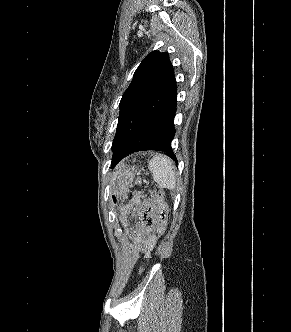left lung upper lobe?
Wrapping results in <instances>:
<instances>
[{"label":"left lung upper lobe","instance_id":"left-lung-upper-lobe-1","mask_svg":"<svg viewBox=\"0 0 291 332\" xmlns=\"http://www.w3.org/2000/svg\"><path fill=\"white\" fill-rule=\"evenodd\" d=\"M174 76L167 52L152 51L138 66L120 101V113L113 155L131 138L148 102L156 97Z\"/></svg>","mask_w":291,"mask_h":332}]
</instances>
